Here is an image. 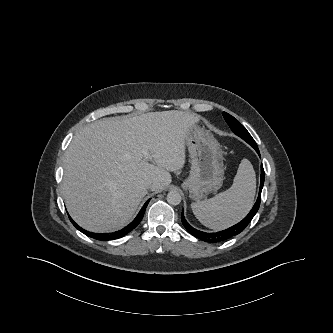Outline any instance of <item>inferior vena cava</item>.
Wrapping results in <instances>:
<instances>
[{"label": "inferior vena cava", "instance_id": "1", "mask_svg": "<svg viewBox=\"0 0 333 333\" xmlns=\"http://www.w3.org/2000/svg\"><path fill=\"white\" fill-rule=\"evenodd\" d=\"M153 186H154V182H153V181H148V182L146 183V187H147L148 189L152 188Z\"/></svg>", "mask_w": 333, "mask_h": 333}]
</instances>
